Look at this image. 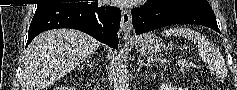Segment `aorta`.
Returning <instances> with one entry per match:
<instances>
[{
	"instance_id": "762f6f07",
	"label": "aorta",
	"mask_w": 237,
	"mask_h": 90,
	"mask_svg": "<svg viewBox=\"0 0 237 90\" xmlns=\"http://www.w3.org/2000/svg\"><path fill=\"white\" fill-rule=\"evenodd\" d=\"M129 76L125 70L122 60H115L113 66V88L114 90H129Z\"/></svg>"
}]
</instances>
